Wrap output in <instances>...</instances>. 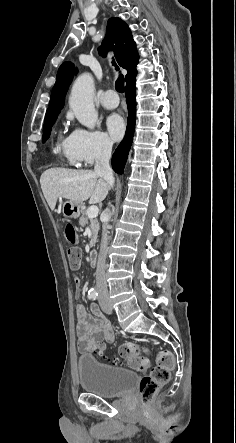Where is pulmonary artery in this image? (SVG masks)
Returning a JSON list of instances; mask_svg holds the SVG:
<instances>
[{"label":"pulmonary artery","mask_w":236,"mask_h":443,"mask_svg":"<svg viewBox=\"0 0 236 443\" xmlns=\"http://www.w3.org/2000/svg\"><path fill=\"white\" fill-rule=\"evenodd\" d=\"M115 95L114 90H107L100 98V103L103 107L107 109H114L118 106V100H113L111 97Z\"/></svg>","instance_id":"obj_1"}]
</instances>
